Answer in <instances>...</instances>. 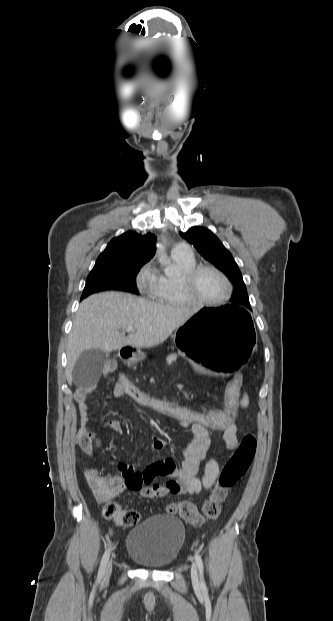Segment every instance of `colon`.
<instances>
[{"instance_id": "obj_1", "label": "colon", "mask_w": 333, "mask_h": 621, "mask_svg": "<svg viewBox=\"0 0 333 621\" xmlns=\"http://www.w3.org/2000/svg\"><path fill=\"white\" fill-rule=\"evenodd\" d=\"M115 384L122 392V396H126L136 405L170 417L180 424H196L207 428L222 429L236 421L240 409L242 375L239 372L233 374L226 385L223 406L208 409L188 406L161 394L147 392L125 376H120ZM256 447V439L252 434L243 437L238 448L222 468L215 488L203 504L201 512L192 502L181 501L169 504L168 513L179 515L185 522L195 527L202 526L206 521L217 519L229 491L248 472L256 454ZM85 480L96 500L104 504L102 514L105 519L124 527L133 526L140 521L141 515L138 511L123 510L113 501L119 487L116 480L102 475L93 467L86 469ZM123 484L127 489H132L135 482L129 477L124 480Z\"/></svg>"}]
</instances>
